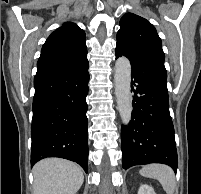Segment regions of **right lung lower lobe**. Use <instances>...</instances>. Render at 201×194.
Returning a JSON list of instances; mask_svg holds the SVG:
<instances>
[{
    "label": "right lung lower lobe",
    "mask_w": 201,
    "mask_h": 194,
    "mask_svg": "<svg viewBox=\"0 0 201 194\" xmlns=\"http://www.w3.org/2000/svg\"><path fill=\"white\" fill-rule=\"evenodd\" d=\"M88 65L34 78L31 165L46 157L78 163L88 172Z\"/></svg>",
    "instance_id": "98d812e1"
}]
</instances>
